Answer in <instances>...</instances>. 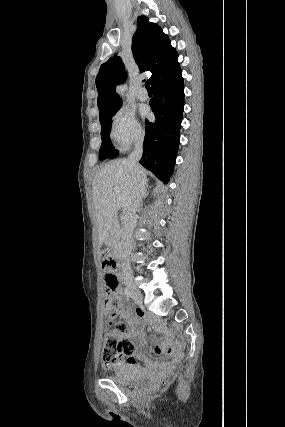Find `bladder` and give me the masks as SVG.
<instances>
[{"label": "bladder", "instance_id": "1", "mask_svg": "<svg viewBox=\"0 0 285 427\" xmlns=\"http://www.w3.org/2000/svg\"><path fill=\"white\" fill-rule=\"evenodd\" d=\"M104 377L119 383H141L152 378V374L146 368L135 364H121L114 372Z\"/></svg>", "mask_w": 285, "mask_h": 427}]
</instances>
